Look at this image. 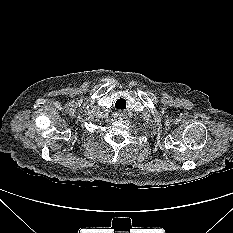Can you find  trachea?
<instances>
[{
    "instance_id": "trachea-1",
    "label": "trachea",
    "mask_w": 233,
    "mask_h": 233,
    "mask_svg": "<svg viewBox=\"0 0 233 233\" xmlns=\"http://www.w3.org/2000/svg\"><path fill=\"white\" fill-rule=\"evenodd\" d=\"M115 107L120 110H124L126 108V101L123 98H120L116 101Z\"/></svg>"
}]
</instances>
